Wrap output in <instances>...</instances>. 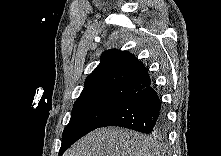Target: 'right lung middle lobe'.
Here are the masks:
<instances>
[{"label":"right lung middle lobe","instance_id":"dd1d6c3e","mask_svg":"<svg viewBox=\"0 0 221 156\" xmlns=\"http://www.w3.org/2000/svg\"><path fill=\"white\" fill-rule=\"evenodd\" d=\"M125 100L107 96L79 98L73 105L71 119L63 131L59 156L75 141L99 128Z\"/></svg>","mask_w":221,"mask_h":156}]
</instances>
